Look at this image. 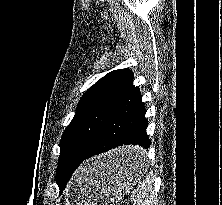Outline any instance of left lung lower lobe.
Segmentation results:
<instances>
[{"instance_id": "1", "label": "left lung lower lobe", "mask_w": 222, "mask_h": 205, "mask_svg": "<svg viewBox=\"0 0 222 205\" xmlns=\"http://www.w3.org/2000/svg\"><path fill=\"white\" fill-rule=\"evenodd\" d=\"M145 114L141 93L132 82L108 114L87 153L81 158L67 160L66 169L73 174L86 159L122 145H136L140 149L121 153L116 158L119 164L131 165L144 161L143 149H148L151 144L146 133ZM68 181L59 187L60 193Z\"/></svg>"}]
</instances>
